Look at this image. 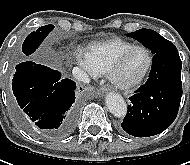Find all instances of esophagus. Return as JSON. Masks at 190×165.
<instances>
[{"mask_svg": "<svg viewBox=\"0 0 190 165\" xmlns=\"http://www.w3.org/2000/svg\"><path fill=\"white\" fill-rule=\"evenodd\" d=\"M110 87L108 85H105L103 87L100 88V92L105 94V93H108L110 91Z\"/></svg>", "mask_w": 190, "mask_h": 165, "instance_id": "esophagus-1", "label": "esophagus"}]
</instances>
